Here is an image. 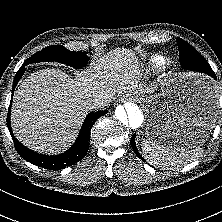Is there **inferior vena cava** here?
<instances>
[{"instance_id": "inferior-vena-cava-1", "label": "inferior vena cava", "mask_w": 222, "mask_h": 222, "mask_svg": "<svg viewBox=\"0 0 222 222\" xmlns=\"http://www.w3.org/2000/svg\"><path fill=\"white\" fill-rule=\"evenodd\" d=\"M110 99L108 96H97L93 99H89L87 106L90 110H104L109 106Z\"/></svg>"}]
</instances>
